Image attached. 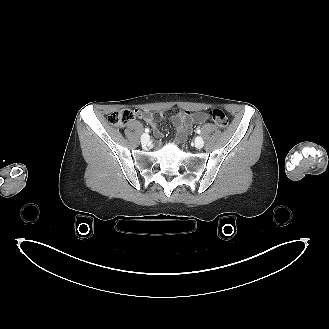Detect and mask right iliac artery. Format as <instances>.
<instances>
[{"label":"right iliac artery","instance_id":"82829eb1","mask_svg":"<svg viewBox=\"0 0 329 329\" xmlns=\"http://www.w3.org/2000/svg\"><path fill=\"white\" fill-rule=\"evenodd\" d=\"M149 131H150V130H149L148 128H145V132H147V133H148Z\"/></svg>","mask_w":329,"mask_h":329}]
</instances>
